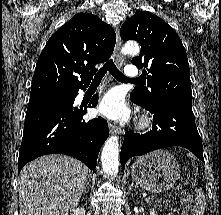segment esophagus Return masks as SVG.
Segmentation results:
<instances>
[{
    "instance_id": "obj_1",
    "label": "esophagus",
    "mask_w": 221,
    "mask_h": 215,
    "mask_svg": "<svg viewBox=\"0 0 221 215\" xmlns=\"http://www.w3.org/2000/svg\"><path fill=\"white\" fill-rule=\"evenodd\" d=\"M121 45H122V41L120 38V28L117 27L116 28V45H115V51H114V57H115V63L118 67H121L123 65L124 62V58L120 52L121 50ZM110 77V76H109ZM109 129L111 133H115V134H120L121 133V128H119L118 126L114 125V124H109Z\"/></svg>"
}]
</instances>
